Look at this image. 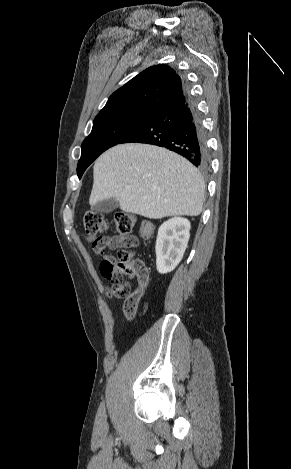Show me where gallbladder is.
Returning <instances> with one entry per match:
<instances>
[{
    "instance_id": "gallbladder-1",
    "label": "gallbladder",
    "mask_w": 291,
    "mask_h": 469,
    "mask_svg": "<svg viewBox=\"0 0 291 469\" xmlns=\"http://www.w3.org/2000/svg\"><path fill=\"white\" fill-rule=\"evenodd\" d=\"M119 207V202L113 198L106 200L98 201L95 205L92 206V209L99 213H111Z\"/></svg>"
}]
</instances>
